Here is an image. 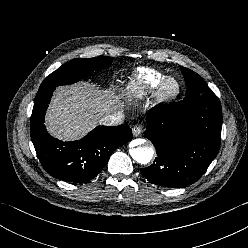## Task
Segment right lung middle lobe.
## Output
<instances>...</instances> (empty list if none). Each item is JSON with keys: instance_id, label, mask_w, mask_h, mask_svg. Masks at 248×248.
<instances>
[{"instance_id": "1", "label": "right lung middle lobe", "mask_w": 248, "mask_h": 248, "mask_svg": "<svg viewBox=\"0 0 248 248\" xmlns=\"http://www.w3.org/2000/svg\"><path fill=\"white\" fill-rule=\"evenodd\" d=\"M111 57H95L90 59H73L51 73L42 82L39 90L72 84L91 75L94 71L103 69L112 63Z\"/></svg>"}]
</instances>
